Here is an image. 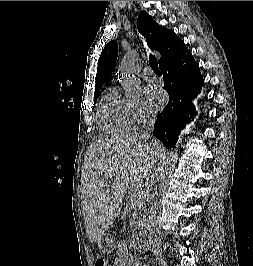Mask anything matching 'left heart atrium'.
<instances>
[{
	"label": "left heart atrium",
	"instance_id": "left-heart-atrium-1",
	"mask_svg": "<svg viewBox=\"0 0 253 266\" xmlns=\"http://www.w3.org/2000/svg\"><path fill=\"white\" fill-rule=\"evenodd\" d=\"M145 96L148 104L154 110L162 108L166 101L165 92L156 85H149L145 88Z\"/></svg>",
	"mask_w": 253,
	"mask_h": 266
}]
</instances>
